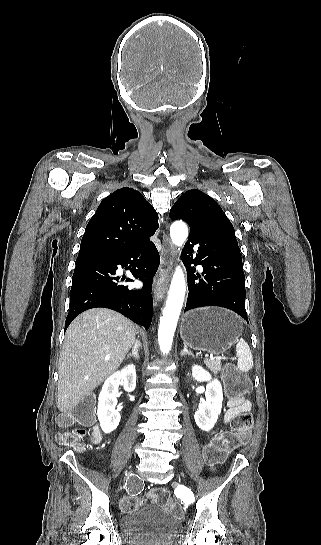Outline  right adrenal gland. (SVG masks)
I'll return each mask as SVG.
<instances>
[{"instance_id": "1", "label": "right adrenal gland", "mask_w": 321, "mask_h": 545, "mask_svg": "<svg viewBox=\"0 0 321 545\" xmlns=\"http://www.w3.org/2000/svg\"><path fill=\"white\" fill-rule=\"evenodd\" d=\"M142 347V343H140V341H135L134 343V347L132 349V353H129V355H127V357H135V359H140L139 357V349H141Z\"/></svg>"}]
</instances>
